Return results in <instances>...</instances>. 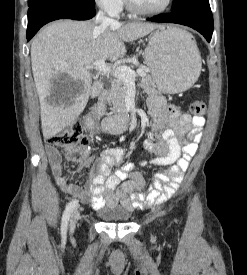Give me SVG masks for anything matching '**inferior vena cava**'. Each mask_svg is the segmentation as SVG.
I'll return each instance as SVG.
<instances>
[{"instance_id":"obj_1","label":"inferior vena cava","mask_w":247,"mask_h":275,"mask_svg":"<svg viewBox=\"0 0 247 275\" xmlns=\"http://www.w3.org/2000/svg\"><path fill=\"white\" fill-rule=\"evenodd\" d=\"M96 23L100 24L103 27H107V26L113 27L118 24L116 20L106 17L103 11H99V13L97 14Z\"/></svg>"}]
</instances>
